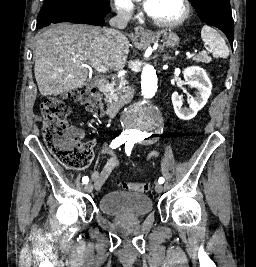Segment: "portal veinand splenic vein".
Returning <instances> with one entry per match:
<instances>
[{
  "instance_id": "portal-vein-and-splenic-vein-1",
  "label": "portal vein and splenic vein",
  "mask_w": 256,
  "mask_h": 267,
  "mask_svg": "<svg viewBox=\"0 0 256 267\" xmlns=\"http://www.w3.org/2000/svg\"><path fill=\"white\" fill-rule=\"evenodd\" d=\"M182 63H185V60H192L193 56L192 55H184L183 56ZM82 66H87V64H82ZM92 68H94V70H97V72H103V74H105V72H108L109 68H106V66H102L101 62H92L91 64Z\"/></svg>"
}]
</instances>
